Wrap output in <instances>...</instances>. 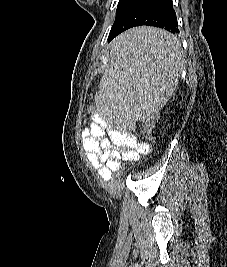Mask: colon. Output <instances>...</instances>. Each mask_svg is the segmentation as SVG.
<instances>
[{"label": "colon", "instance_id": "colon-1", "mask_svg": "<svg viewBox=\"0 0 227 267\" xmlns=\"http://www.w3.org/2000/svg\"><path fill=\"white\" fill-rule=\"evenodd\" d=\"M149 120L144 121V124H146V130L144 131V134L146 135L147 140H154L155 136L153 135L152 131L156 130L157 125L160 124V117L161 114L157 113L156 115H149ZM138 157L136 155H127L126 161L122 162V172L121 175L129 174V171H134L135 167L134 165L137 164Z\"/></svg>", "mask_w": 227, "mask_h": 267}]
</instances>
